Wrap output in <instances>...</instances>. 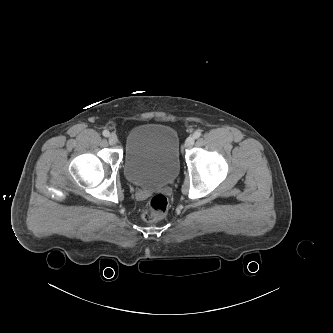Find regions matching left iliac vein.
I'll return each instance as SVG.
<instances>
[{"mask_svg":"<svg viewBox=\"0 0 333 333\" xmlns=\"http://www.w3.org/2000/svg\"><path fill=\"white\" fill-rule=\"evenodd\" d=\"M195 139L193 136H189L187 140L185 141V147L190 148L194 145Z\"/></svg>","mask_w":333,"mask_h":333,"instance_id":"left-iliac-vein-1","label":"left iliac vein"}]
</instances>
